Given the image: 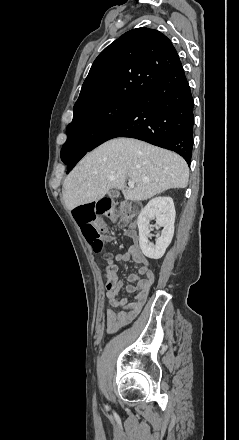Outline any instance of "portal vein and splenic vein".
I'll use <instances>...</instances> for the list:
<instances>
[{
	"label": "portal vein and splenic vein",
	"instance_id": "obj_1",
	"mask_svg": "<svg viewBox=\"0 0 239 440\" xmlns=\"http://www.w3.org/2000/svg\"><path fill=\"white\" fill-rule=\"evenodd\" d=\"M134 184H135V182H128L129 188H134Z\"/></svg>",
	"mask_w": 239,
	"mask_h": 440
}]
</instances>
